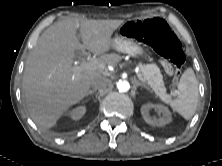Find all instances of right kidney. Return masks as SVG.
<instances>
[{
  "mask_svg": "<svg viewBox=\"0 0 222 166\" xmlns=\"http://www.w3.org/2000/svg\"><path fill=\"white\" fill-rule=\"evenodd\" d=\"M85 113H86V107L85 106H78V107L66 112V115L68 117H70L72 120H79L84 116Z\"/></svg>",
  "mask_w": 222,
  "mask_h": 166,
  "instance_id": "right-kidney-1",
  "label": "right kidney"
}]
</instances>
